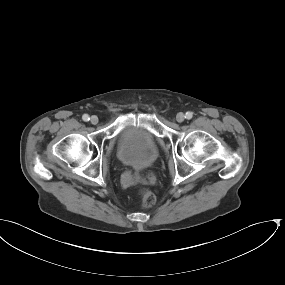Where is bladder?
<instances>
[{
	"mask_svg": "<svg viewBox=\"0 0 285 285\" xmlns=\"http://www.w3.org/2000/svg\"><path fill=\"white\" fill-rule=\"evenodd\" d=\"M117 150L124 165L135 170L147 168L156 156L155 135L146 128L125 127L117 135Z\"/></svg>",
	"mask_w": 285,
	"mask_h": 285,
	"instance_id": "31cf9c89",
	"label": "bladder"
}]
</instances>
